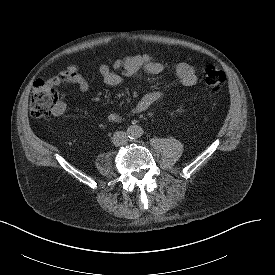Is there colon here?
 Wrapping results in <instances>:
<instances>
[{
  "mask_svg": "<svg viewBox=\"0 0 275 275\" xmlns=\"http://www.w3.org/2000/svg\"><path fill=\"white\" fill-rule=\"evenodd\" d=\"M226 76L215 66H207L204 70L205 85L213 92H218L224 86ZM60 105L57 90L43 80L34 82L30 102V112L35 118L49 116Z\"/></svg>",
  "mask_w": 275,
  "mask_h": 275,
  "instance_id": "obj_1",
  "label": "colon"
}]
</instances>
